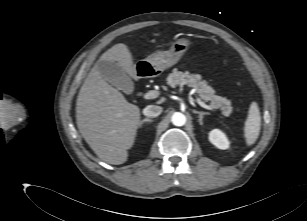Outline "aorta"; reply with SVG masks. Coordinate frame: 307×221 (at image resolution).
I'll use <instances>...</instances> for the list:
<instances>
[{
    "mask_svg": "<svg viewBox=\"0 0 307 221\" xmlns=\"http://www.w3.org/2000/svg\"><path fill=\"white\" fill-rule=\"evenodd\" d=\"M171 121L175 126H183L186 123V116L181 112H175L171 117Z\"/></svg>",
    "mask_w": 307,
    "mask_h": 221,
    "instance_id": "aorta-1",
    "label": "aorta"
}]
</instances>
